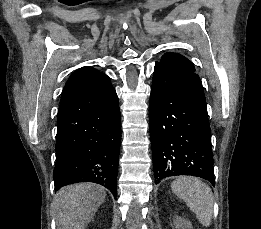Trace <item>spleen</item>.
Wrapping results in <instances>:
<instances>
[{"instance_id": "spleen-1", "label": "spleen", "mask_w": 261, "mask_h": 229, "mask_svg": "<svg viewBox=\"0 0 261 229\" xmlns=\"http://www.w3.org/2000/svg\"><path fill=\"white\" fill-rule=\"evenodd\" d=\"M171 189L195 213L203 227H209L213 215V193L210 187L196 177H177Z\"/></svg>"}]
</instances>
